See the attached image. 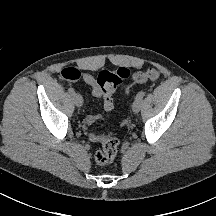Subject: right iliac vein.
Instances as JSON below:
<instances>
[{
    "mask_svg": "<svg viewBox=\"0 0 216 216\" xmlns=\"http://www.w3.org/2000/svg\"><path fill=\"white\" fill-rule=\"evenodd\" d=\"M73 102L76 106L80 107L83 105V98L80 94L75 93L73 95Z\"/></svg>",
    "mask_w": 216,
    "mask_h": 216,
    "instance_id": "obj_1",
    "label": "right iliac vein"
}]
</instances>
